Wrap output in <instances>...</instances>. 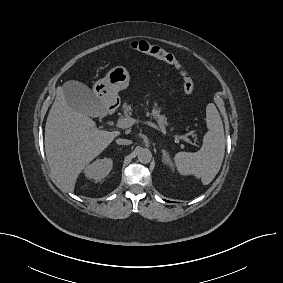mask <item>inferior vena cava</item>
Wrapping results in <instances>:
<instances>
[{
  "label": "inferior vena cava",
  "mask_w": 283,
  "mask_h": 283,
  "mask_svg": "<svg viewBox=\"0 0 283 283\" xmlns=\"http://www.w3.org/2000/svg\"><path fill=\"white\" fill-rule=\"evenodd\" d=\"M116 143L119 145H129L132 143V141L127 139H117Z\"/></svg>",
  "instance_id": "inferior-vena-cava-1"
}]
</instances>
